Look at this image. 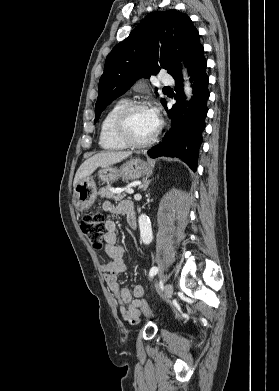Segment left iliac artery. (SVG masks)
Wrapping results in <instances>:
<instances>
[{
    "instance_id": "obj_1",
    "label": "left iliac artery",
    "mask_w": 279,
    "mask_h": 391,
    "mask_svg": "<svg viewBox=\"0 0 279 391\" xmlns=\"http://www.w3.org/2000/svg\"><path fill=\"white\" fill-rule=\"evenodd\" d=\"M158 273V267L154 266L150 269V272H149V276L150 277H153L154 275H156Z\"/></svg>"
}]
</instances>
